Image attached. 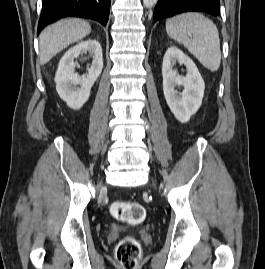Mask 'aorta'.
<instances>
[{"instance_id":"obj_1","label":"aorta","mask_w":265,"mask_h":269,"mask_svg":"<svg viewBox=\"0 0 265 269\" xmlns=\"http://www.w3.org/2000/svg\"><path fill=\"white\" fill-rule=\"evenodd\" d=\"M158 0H143V4L146 8H151L156 5Z\"/></svg>"}]
</instances>
